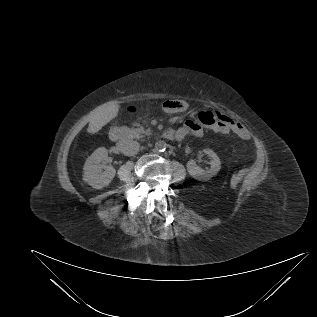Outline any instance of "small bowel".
Masks as SVG:
<instances>
[{
	"label": "small bowel",
	"mask_w": 317,
	"mask_h": 317,
	"mask_svg": "<svg viewBox=\"0 0 317 317\" xmlns=\"http://www.w3.org/2000/svg\"><path fill=\"white\" fill-rule=\"evenodd\" d=\"M164 110L168 113H180L188 109V104L180 100H167L163 104ZM219 114V123L213 126L214 130L221 133L233 131L239 136L246 138L247 132L243 125L231 118L228 114L217 112ZM175 139L182 140L188 135L200 137L203 135V127L195 121L187 120L184 125L175 132Z\"/></svg>",
	"instance_id": "small-bowel-1"
}]
</instances>
